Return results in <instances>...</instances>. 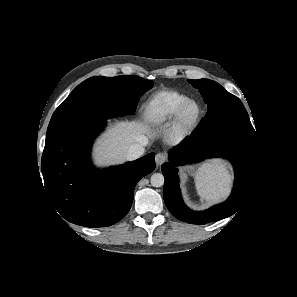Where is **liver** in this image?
<instances>
[{
	"label": "liver",
	"instance_id": "1",
	"mask_svg": "<svg viewBox=\"0 0 297 297\" xmlns=\"http://www.w3.org/2000/svg\"><path fill=\"white\" fill-rule=\"evenodd\" d=\"M145 135L147 138L157 136L156 132L140 121H115L114 124L95 144V159L98 164H119L127 159L129 147L139 143V136ZM169 139L173 133L166 132Z\"/></svg>",
	"mask_w": 297,
	"mask_h": 297
}]
</instances>
